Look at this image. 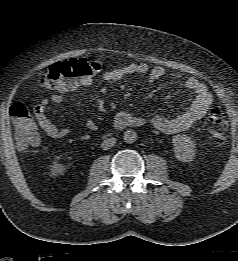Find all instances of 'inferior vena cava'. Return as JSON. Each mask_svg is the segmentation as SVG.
I'll return each instance as SVG.
<instances>
[{
  "label": "inferior vena cava",
  "mask_w": 238,
  "mask_h": 261,
  "mask_svg": "<svg viewBox=\"0 0 238 261\" xmlns=\"http://www.w3.org/2000/svg\"><path fill=\"white\" fill-rule=\"evenodd\" d=\"M116 143V139L115 138H107L106 140H104L101 144V148L103 150H108L111 147H113Z\"/></svg>",
  "instance_id": "1"
}]
</instances>
